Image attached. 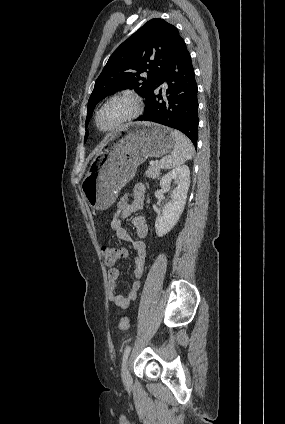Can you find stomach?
Here are the masks:
<instances>
[{
	"label": "stomach",
	"mask_w": 285,
	"mask_h": 424,
	"mask_svg": "<svg viewBox=\"0 0 285 424\" xmlns=\"http://www.w3.org/2000/svg\"><path fill=\"white\" fill-rule=\"evenodd\" d=\"M96 154L82 183V194L96 210L109 208L118 192L147 158H158L174 147L173 131L154 123H130Z\"/></svg>",
	"instance_id": "1"
}]
</instances>
